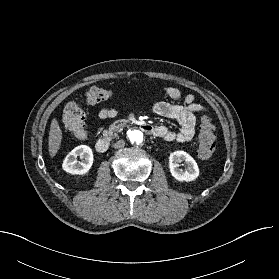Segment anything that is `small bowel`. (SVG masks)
<instances>
[{
  "label": "small bowel",
  "mask_w": 279,
  "mask_h": 279,
  "mask_svg": "<svg viewBox=\"0 0 279 279\" xmlns=\"http://www.w3.org/2000/svg\"><path fill=\"white\" fill-rule=\"evenodd\" d=\"M165 94L172 100H180L183 98V104H173L165 101L157 102L153 105L152 110L155 114L174 119L179 125L178 131L169 130L166 126H156L157 137L167 142H188L191 141L196 131V113L205 112L206 109L195 101L193 94H187L183 97L181 91L175 87L165 88ZM117 110L112 107L102 108L98 116L100 119H111L116 117Z\"/></svg>",
  "instance_id": "c3829d8e"
}]
</instances>
